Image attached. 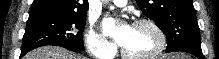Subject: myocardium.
<instances>
[{"label": "myocardium", "instance_id": "1", "mask_svg": "<svg viewBox=\"0 0 219 59\" xmlns=\"http://www.w3.org/2000/svg\"><path fill=\"white\" fill-rule=\"evenodd\" d=\"M133 26H147L150 27L156 34L158 43L156 47L149 53L144 55H133L128 53L123 47H121V56L125 59H153L160 55L166 48L167 38L162 28L153 20L139 19L134 22Z\"/></svg>", "mask_w": 219, "mask_h": 59}]
</instances>
